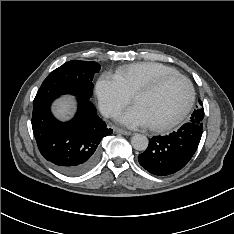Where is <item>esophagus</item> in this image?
Masks as SVG:
<instances>
[{"label": "esophagus", "instance_id": "1", "mask_svg": "<svg viewBox=\"0 0 234 234\" xmlns=\"http://www.w3.org/2000/svg\"><path fill=\"white\" fill-rule=\"evenodd\" d=\"M114 131L117 133L123 134V135H131L132 134L130 131L124 130L122 128H115Z\"/></svg>", "mask_w": 234, "mask_h": 234}]
</instances>
